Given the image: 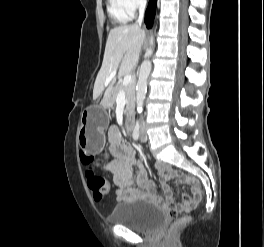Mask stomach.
Instances as JSON below:
<instances>
[{
  "instance_id": "stomach-1",
  "label": "stomach",
  "mask_w": 264,
  "mask_h": 247,
  "mask_svg": "<svg viewBox=\"0 0 264 247\" xmlns=\"http://www.w3.org/2000/svg\"><path fill=\"white\" fill-rule=\"evenodd\" d=\"M107 123L105 109L100 107L96 113L87 112L78 131L79 146L89 152H99L105 141L104 128Z\"/></svg>"
}]
</instances>
